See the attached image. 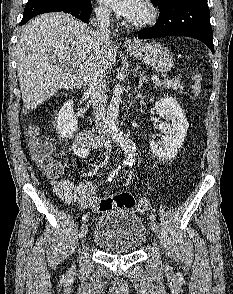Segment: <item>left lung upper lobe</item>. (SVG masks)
Segmentation results:
<instances>
[{"label":"left lung upper lobe","mask_w":233,"mask_h":294,"mask_svg":"<svg viewBox=\"0 0 233 294\" xmlns=\"http://www.w3.org/2000/svg\"><path fill=\"white\" fill-rule=\"evenodd\" d=\"M153 4H156L157 6H162L164 3L170 1V0H151Z\"/></svg>","instance_id":"1"}]
</instances>
